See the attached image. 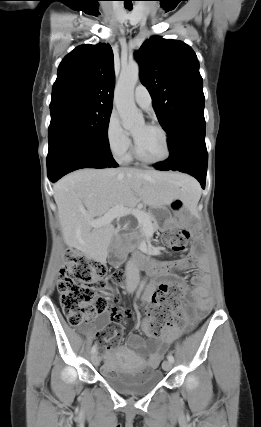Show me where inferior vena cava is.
Returning <instances> with one entry per match:
<instances>
[{
  "instance_id": "inferior-vena-cava-1",
  "label": "inferior vena cava",
  "mask_w": 261,
  "mask_h": 427,
  "mask_svg": "<svg viewBox=\"0 0 261 427\" xmlns=\"http://www.w3.org/2000/svg\"><path fill=\"white\" fill-rule=\"evenodd\" d=\"M140 281V272L133 259L126 264V284L129 287H136Z\"/></svg>"
}]
</instances>
